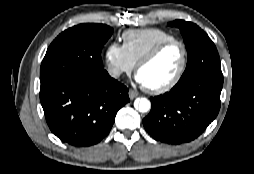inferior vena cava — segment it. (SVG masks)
<instances>
[{"mask_svg":"<svg viewBox=\"0 0 254 174\" xmlns=\"http://www.w3.org/2000/svg\"><path fill=\"white\" fill-rule=\"evenodd\" d=\"M121 71L119 69H116V68H113V69H110L109 70V74L112 76V77H119L121 75Z\"/></svg>","mask_w":254,"mask_h":174,"instance_id":"602c4592","label":"inferior vena cava"}]
</instances>
